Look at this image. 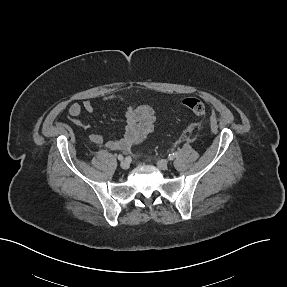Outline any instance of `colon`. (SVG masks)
<instances>
[{
  "mask_svg": "<svg viewBox=\"0 0 287 287\" xmlns=\"http://www.w3.org/2000/svg\"><path fill=\"white\" fill-rule=\"evenodd\" d=\"M184 106L195 115H203L206 112L204 102L196 97H188L183 100Z\"/></svg>",
  "mask_w": 287,
  "mask_h": 287,
  "instance_id": "colon-1",
  "label": "colon"
}]
</instances>
